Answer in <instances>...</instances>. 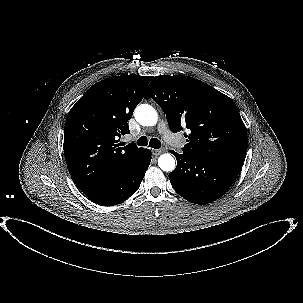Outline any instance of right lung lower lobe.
<instances>
[{"label":"right lung lower lobe","instance_id":"1","mask_svg":"<svg viewBox=\"0 0 303 303\" xmlns=\"http://www.w3.org/2000/svg\"><path fill=\"white\" fill-rule=\"evenodd\" d=\"M150 162L151 153L146 150L142 159L124 176L110 186L87 197L102 206H113L122 203L138 190Z\"/></svg>","mask_w":303,"mask_h":303}]
</instances>
